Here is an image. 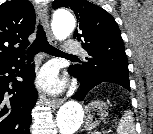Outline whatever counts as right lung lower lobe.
<instances>
[{"mask_svg": "<svg viewBox=\"0 0 153 134\" xmlns=\"http://www.w3.org/2000/svg\"><path fill=\"white\" fill-rule=\"evenodd\" d=\"M16 75L24 81H17ZM34 78V65L26 68L24 58L0 66V134H30L31 110L37 98Z\"/></svg>", "mask_w": 153, "mask_h": 134, "instance_id": "right-lung-lower-lobe-1", "label": "right lung lower lobe"}]
</instances>
